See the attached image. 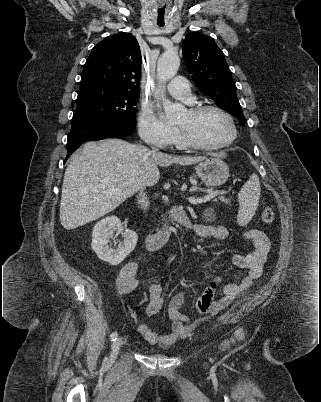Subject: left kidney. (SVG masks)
Returning <instances> with one entry per match:
<instances>
[{
    "label": "left kidney",
    "mask_w": 321,
    "mask_h": 402,
    "mask_svg": "<svg viewBox=\"0 0 321 402\" xmlns=\"http://www.w3.org/2000/svg\"><path fill=\"white\" fill-rule=\"evenodd\" d=\"M205 216H207V220H214V211L213 210H209V211H206V214H205Z\"/></svg>",
    "instance_id": "left-kidney-1"
}]
</instances>
